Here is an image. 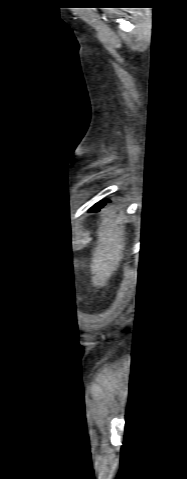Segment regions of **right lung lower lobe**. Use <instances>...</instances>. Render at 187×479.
I'll return each instance as SVG.
<instances>
[{
    "label": "right lung lower lobe",
    "instance_id": "right-lung-lower-lobe-1",
    "mask_svg": "<svg viewBox=\"0 0 187 479\" xmlns=\"http://www.w3.org/2000/svg\"><path fill=\"white\" fill-rule=\"evenodd\" d=\"M107 202H109V200H106V201H101L97 204H95L92 208H91V211H98L100 208H102Z\"/></svg>",
    "mask_w": 187,
    "mask_h": 479
}]
</instances>
